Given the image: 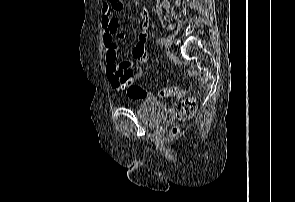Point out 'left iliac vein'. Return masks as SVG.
Here are the masks:
<instances>
[{
    "mask_svg": "<svg viewBox=\"0 0 295 202\" xmlns=\"http://www.w3.org/2000/svg\"><path fill=\"white\" fill-rule=\"evenodd\" d=\"M173 43V37L172 36H168L165 38V42L164 45L166 48H169Z\"/></svg>",
    "mask_w": 295,
    "mask_h": 202,
    "instance_id": "obj_1",
    "label": "left iliac vein"
}]
</instances>
